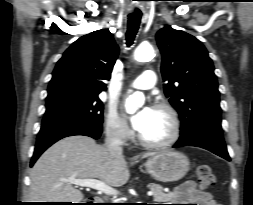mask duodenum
<instances>
[{
	"mask_svg": "<svg viewBox=\"0 0 253 205\" xmlns=\"http://www.w3.org/2000/svg\"><path fill=\"white\" fill-rule=\"evenodd\" d=\"M93 201L95 202V203H97V204H100L101 203V198H99V197H94L93 198Z\"/></svg>",
	"mask_w": 253,
	"mask_h": 205,
	"instance_id": "obj_1",
	"label": "duodenum"
}]
</instances>
